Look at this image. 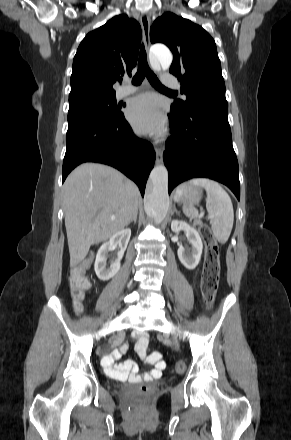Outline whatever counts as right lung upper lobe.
Listing matches in <instances>:
<instances>
[{
    "instance_id": "1",
    "label": "right lung upper lobe",
    "mask_w": 291,
    "mask_h": 440,
    "mask_svg": "<svg viewBox=\"0 0 291 440\" xmlns=\"http://www.w3.org/2000/svg\"><path fill=\"white\" fill-rule=\"evenodd\" d=\"M141 27L118 15L91 31L80 43L73 60L69 101L86 96L115 95L113 84L131 75L138 58Z\"/></svg>"
}]
</instances>
